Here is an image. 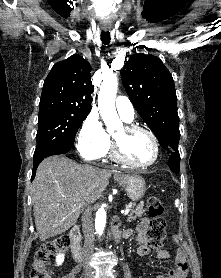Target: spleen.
<instances>
[{"mask_svg":"<svg viewBox=\"0 0 221 278\" xmlns=\"http://www.w3.org/2000/svg\"><path fill=\"white\" fill-rule=\"evenodd\" d=\"M175 206H176V207L179 206V200H178V199L175 200Z\"/></svg>","mask_w":221,"mask_h":278,"instance_id":"1","label":"spleen"}]
</instances>
